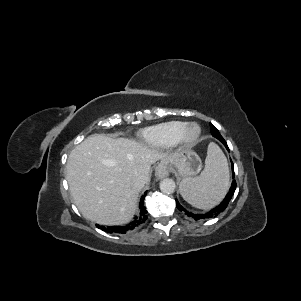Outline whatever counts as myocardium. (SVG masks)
<instances>
[{
	"label": "myocardium",
	"instance_id": "f54148a6",
	"mask_svg": "<svg viewBox=\"0 0 301 301\" xmlns=\"http://www.w3.org/2000/svg\"><path fill=\"white\" fill-rule=\"evenodd\" d=\"M201 133V127L197 123H188L179 135L176 144L184 148H190L198 142Z\"/></svg>",
	"mask_w": 301,
	"mask_h": 301
}]
</instances>
